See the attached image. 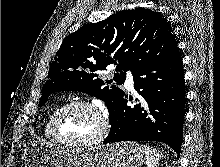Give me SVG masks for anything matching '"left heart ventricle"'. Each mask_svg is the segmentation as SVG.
<instances>
[{"instance_id":"left-heart-ventricle-1","label":"left heart ventricle","mask_w":220,"mask_h":167,"mask_svg":"<svg viewBox=\"0 0 220 167\" xmlns=\"http://www.w3.org/2000/svg\"><path fill=\"white\" fill-rule=\"evenodd\" d=\"M57 127L60 136L64 139H88L97 133L99 118L88 108L72 106L61 114Z\"/></svg>"}]
</instances>
